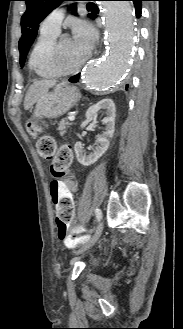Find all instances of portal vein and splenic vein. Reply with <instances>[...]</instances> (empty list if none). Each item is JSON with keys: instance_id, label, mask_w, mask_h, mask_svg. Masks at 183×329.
<instances>
[{"instance_id": "1", "label": "portal vein and splenic vein", "mask_w": 183, "mask_h": 329, "mask_svg": "<svg viewBox=\"0 0 183 329\" xmlns=\"http://www.w3.org/2000/svg\"><path fill=\"white\" fill-rule=\"evenodd\" d=\"M68 119H69L70 121H73V120L75 119V117H74V115H69V116H68Z\"/></svg>"}]
</instances>
